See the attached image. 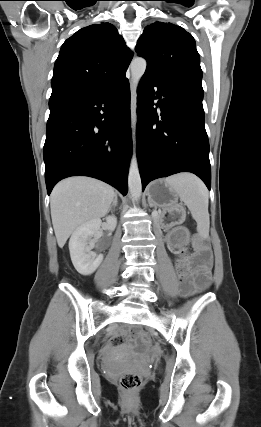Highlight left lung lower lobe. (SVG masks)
I'll return each instance as SVG.
<instances>
[{"label":"left lung lower lobe","instance_id":"left-lung-lower-lobe-1","mask_svg":"<svg viewBox=\"0 0 261 427\" xmlns=\"http://www.w3.org/2000/svg\"><path fill=\"white\" fill-rule=\"evenodd\" d=\"M138 94L137 155L142 189L156 178L191 172L210 190L203 89L144 75ZM155 99H159L156 108Z\"/></svg>","mask_w":261,"mask_h":427}]
</instances>
